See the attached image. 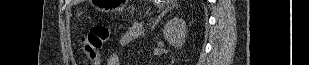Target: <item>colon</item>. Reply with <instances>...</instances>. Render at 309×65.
<instances>
[{
    "mask_svg": "<svg viewBox=\"0 0 309 65\" xmlns=\"http://www.w3.org/2000/svg\"><path fill=\"white\" fill-rule=\"evenodd\" d=\"M111 36V29L105 25H97L84 33L81 37L82 49L85 57L94 65L101 62V51Z\"/></svg>",
    "mask_w": 309,
    "mask_h": 65,
    "instance_id": "colon-1",
    "label": "colon"
}]
</instances>
